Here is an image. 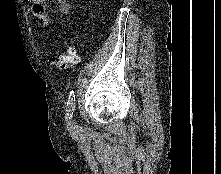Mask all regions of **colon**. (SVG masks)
<instances>
[{"instance_id":"1","label":"colon","mask_w":221,"mask_h":174,"mask_svg":"<svg viewBox=\"0 0 221 174\" xmlns=\"http://www.w3.org/2000/svg\"><path fill=\"white\" fill-rule=\"evenodd\" d=\"M49 62L51 65L60 69H70L80 63V57L77 54L75 46H69L64 51L54 53Z\"/></svg>"}]
</instances>
